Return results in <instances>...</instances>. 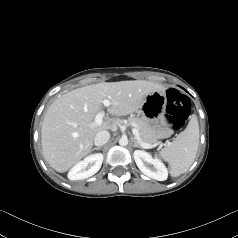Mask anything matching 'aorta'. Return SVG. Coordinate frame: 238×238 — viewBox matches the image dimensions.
<instances>
[{"instance_id": "obj_1", "label": "aorta", "mask_w": 238, "mask_h": 238, "mask_svg": "<svg viewBox=\"0 0 238 238\" xmlns=\"http://www.w3.org/2000/svg\"><path fill=\"white\" fill-rule=\"evenodd\" d=\"M119 144H120L121 146H127V145H128V139H127V137H122V138H120Z\"/></svg>"}]
</instances>
